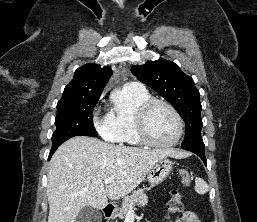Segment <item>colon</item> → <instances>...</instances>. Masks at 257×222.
Returning <instances> with one entry per match:
<instances>
[{
  "instance_id": "colon-1",
  "label": "colon",
  "mask_w": 257,
  "mask_h": 222,
  "mask_svg": "<svg viewBox=\"0 0 257 222\" xmlns=\"http://www.w3.org/2000/svg\"><path fill=\"white\" fill-rule=\"evenodd\" d=\"M178 176H179L181 182L184 185H188L189 184L190 177H189V174H188V172L186 170H183V169L179 170L178 171ZM181 208H182V203H181L180 193L177 192V191H173L172 192V197H171V199L168 202V209L171 212H177V211H180Z\"/></svg>"
}]
</instances>
